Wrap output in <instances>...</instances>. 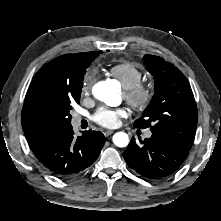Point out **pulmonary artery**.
<instances>
[{
    "mask_svg": "<svg viewBox=\"0 0 221 221\" xmlns=\"http://www.w3.org/2000/svg\"><path fill=\"white\" fill-rule=\"evenodd\" d=\"M74 123L75 124H78L80 121H81V117L80 116H75L74 119H73ZM151 136V132L150 131H147L145 133V137L146 138H149Z\"/></svg>",
    "mask_w": 221,
    "mask_h": 221,
    "instance_id": "obj_1",
    "label": "pulmonary artery"
}]
</instances>
